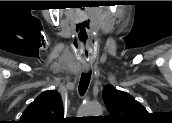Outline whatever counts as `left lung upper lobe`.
<instances>
[{
  "mask_svg": "<svg viewBox=\"0 0 172 123\" xmlns=\"http://www.w3.org/2000/svg\"><path fill=\"white\" fill-rule=\"evenodd\" d=\"M103 100L110 113L111 120L126 122L138 120L146 115V109L130 94L119 91L111 85L103 90Z\"/></svg>",
  "mask_w": 172,
  "mask_h": 123,
  "instance_id": "obj_1",
  "label": "left lung upper lobe"
}]
</instances>
